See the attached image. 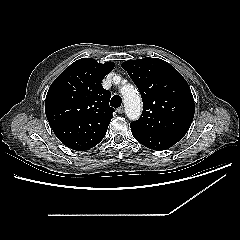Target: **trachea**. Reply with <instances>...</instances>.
<instances>
[{
	"instance_id": "3493384b",
	"label": "trachea",
	"mask_w": 240,
	"mask_h": 240,
	"mask_svg": "<svg viewBox=\"0 0 240 240\" xmlns=\"http://www.w3.org/2000/svg\"><path fill=\"white\" fill-rule=\"evenodd\" d=\"M122 104V99L119 95H114L110 100V105L114 108L120 107Z\"/></svg>"
}]
</instances>
